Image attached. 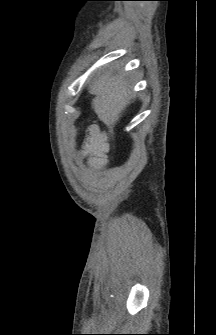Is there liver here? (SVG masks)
<instances>
[{
	"label": "liver",
	"mask_w": 216,
	"mask_h": 335,
	"mask_svg": "<svg viewBox=\"0 0 216 335\" xmlns=\"http://www.w3.org/2000/svg\"><path fill=\"white\" fill-rule=\"evenodd\" d=\"M96 94L94 107L100 118L111 126L120 119L126 107L131 103V90L122 75L105 73L90 86Z\"/></svg>",
	"instance_id": "1"
}]
</instances>
